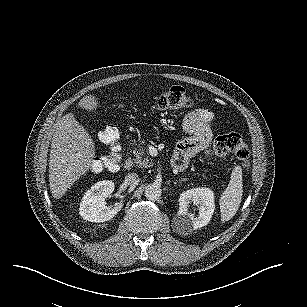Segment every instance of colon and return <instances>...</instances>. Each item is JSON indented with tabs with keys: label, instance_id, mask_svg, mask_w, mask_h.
<instances>
[{
	"label": "colon",
	"instance_id": "1",
	"mask_svg": "<svg viewBox=\"0 0 307 307\" xmlns=\"http://www.w3.org/2000/svg\"><path fill=\"white\" fill-rule=\"evenodd\" d=\"M157 106L160 109H183L193 105V99L181 86H172L162 92L157 98ZM99 139L110 149L108 154L101 155L92 163V170L100 172L104 169L114 170L120 161V134L111 126L99 133ZM234 153L240 160L242 166H249L251 150L249 145L243 141L237 133H227L217 136L208 151L209 157H222Z\"/></svg>",
	"mask_w": 307,
	"mask_h": 307
}]
</instances>
